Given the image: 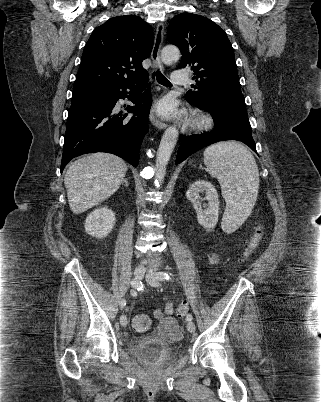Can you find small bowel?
<instances>
[{
	"instance_id": "1",
	"label": "small bowel",
	"mask_w": 321,
	"mask_h": 402,
	"mask_svg": "<svg viewBox=\"0 0 321 402\" xmlns=\"http://www.w3.org/2000/svg\"><path fill=\"white\" fill-rule=\"evenodd\" d=\"M218 260L216 253L209 255V261L215 264ZM173 313V306L168 303L164 310H156L154 312L155 318L158 320L159 335L166 338L169 341H176L181 336V331L177 321L170 315Z\"/></svg>"
}]
</instances>
